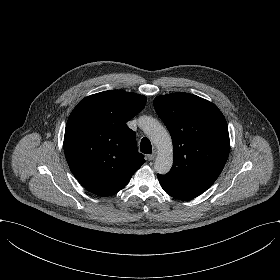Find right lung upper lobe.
<instances>
[{
	"label": "right lung upper lobe",
	"instance_id": "obj_1",
	"mask_svg": "<svg viewBox=\"0 0 280 280\" xmlns=\"http://www.w3.org/2000/svg\"><path fill=\"white\" fill-rule=\"evenodd\" d=\"M146 97L111 90L81 100L68 118L64 152L83 187L98 196L123 189L145 163L135 132L126 122L145 106Z\"/></svg>",
	"mask_w": 280,
	"mask_h": 280
}]
</instances>
